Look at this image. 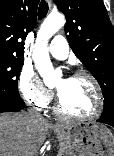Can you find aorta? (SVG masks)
Segmentation results:
<instances>
[{
	"label": "aorta",
	"mask_w": 114,
	"mask_h": 156,
	"mask_svg": "<svg viewBox=\"0 0 114 156\" xmlns=\"http://www.w3.org/2000/svg\"><path fill=\"white\" fill-rule=\"evenodd\" d=\"M65 23L62 14H50L42 23L36 39L33 61L39 74L46 85L55 82L60 72L53 69L48 53V40L61 28Z\"/></svg>",
	"instance_id": "762f6f07"
}]
</instances>
